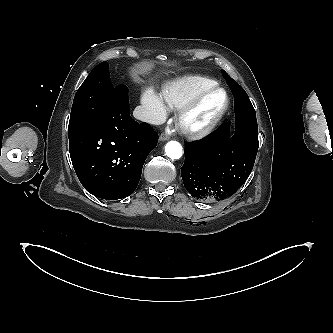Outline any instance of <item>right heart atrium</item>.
Returning a JSON list of instances; mask_svg holds the SVG:
<instances>
[{"label": "right heart atrium", "instance_id": "obj_1", "mask_svg": "<svg viewBox=\"0 0 333 333\" xmlns=\"http://www.w3.org/2000/svg\"><path fill=\"white\" fill-rule=\"evenodd\" d=\"M146 120L151 123L162 121L167 115V108L163 99L153 90H147L142 96Z\"/></svg>", "mask_w": 333, "mask_h": 333}]
</instances>
